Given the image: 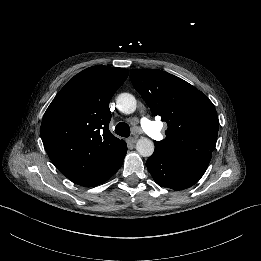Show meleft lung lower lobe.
<instances>
[{
	"label": "left lung lower lobe",
	"mask_w": 261,
	"mask_h": 261,
	"mask_svg": "<svg viewBox=\"0 0 261 261\" xmlns=\"http://www.w3.org/2000/svg\"><path fill=\"white\" fill-rule=\"evenodd\" d=\"M146 166L159 186L178 191L197 183L205 173L208 164L169 157L155 150L146 161Z\"/></svg>",
	"instance_id": "obj_1"
}]
</instances>
